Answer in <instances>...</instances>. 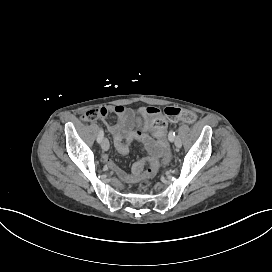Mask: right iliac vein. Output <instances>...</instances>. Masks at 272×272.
Masks as SVG:
<instances>
[{
    "label": "right iliac vein",
    "instance_id": "obj_1",
    "mask_svg": "<svg viewBox=\"0 0 272 272\" xmlns=\"http://www.w3.org/2000/svg\"><path fill=\"white\" fill-rule=\"evenodd\" d=\"M109 141L107 138H103L102 141H101V147L104 151H107L109 149Z\"/></svg>",
    "mask_w": 272,
    "mask_h": 272
}]
</instances>
